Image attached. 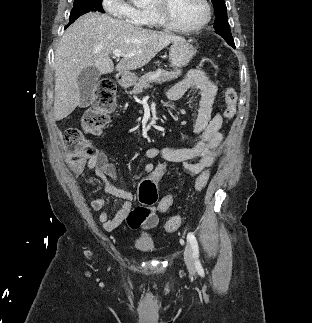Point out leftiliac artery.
Instances as JSON below:
<instances>
[{
  "label": "left iliac artery",
  "mask_w": 312,
  "mask_h": 323,
  "mask_svg": "<svg viewBox=\"0 0 312 323\" xmlns=\"http://www.w3.org/2000/svg\"><path fill=\"white\" fill-rule=\"evenodd\" d=\"M187 238L192 246L194 257L198 258L199 257V249H198V242L196 240L195 235L190 232V233H188ZM197 266L201 267L200 263H197Z\"/></svg>",
  "instance_id": "1"
}]
</instances>
